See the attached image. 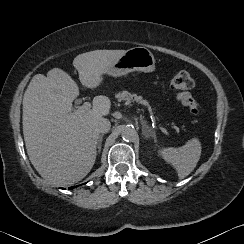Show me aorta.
Returning a JSON list of instances; mask_svg holds the SVG:
<instances>
[{"label": "aorta", "mask_w": 244, "mask_h": 244, "mask_svg": "<svg viewBox=\"0 0 244 244\" xmlns=\"http://www.w3.org/2000/svg\"><path fill=\"white\" fill-rule=\"evenodd\" d=\"M136 135V130L131 125H126L121 129V137L125 141H131Z\"/></svg>", "instance_id": "762f6f07"}]
</instances>
